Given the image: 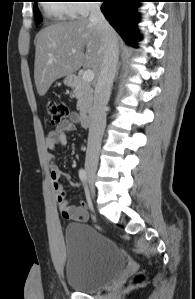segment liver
Instances as JSON below:
<instances>
[{
    "label": "liver",
    "mask_w": 195,
    "mask_h": 299,
    "mask_svg": "<svg viewBox=\"0 0 195 299\" xmlns=\"http://www.w3.org/2000/svg\"><path fill=\"white\" fill-rule=\"evenodd\" d=\"M35 46L34 80L40 96L47 93L54 81L71 76L82 66L92 69L96 76L100 74L102 30L86 18L45 27L36 35ZM72 49L76 52L72 53Z\"/></svg>",
    "instance_id": "6515ba94"
}]
</instances>
